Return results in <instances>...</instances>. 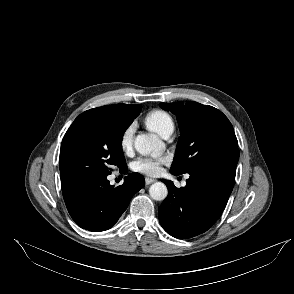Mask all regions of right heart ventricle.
Wrapping results in <instances>:
<instances>
[{
	"label": "right heart ventricle",
	"mask_w": 294,
	"mask_h": 294,
	"mask_svg": "<svg viewBox=\"0 0 294 294\" xmlns=\"http://www.w3.org/2000/svg\"><path fill=\"white\" fill-rule=\"evenodd\" d=\"M145 124L162 137L169 132H173L175 127L171 115L163 110H154L150 112L145 118Z\"/></svg>",
	"instance_id": "obj_1"
}]
</instances>
